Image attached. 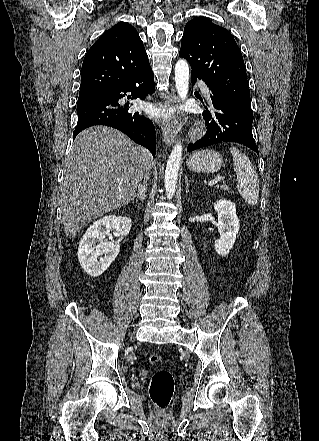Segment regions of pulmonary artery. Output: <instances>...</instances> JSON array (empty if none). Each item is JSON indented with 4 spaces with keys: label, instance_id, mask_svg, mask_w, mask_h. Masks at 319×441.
I'll return each mask as SVG.
<instances>
[{
    "label": "pulmonary artery",
    "instance_id": "e3ab8cb5",
    "mask_svg": "<svg viewBox=\"0 0 319 441\" xmlns=\"http://www.w3.org/2000/svg\"><path fill=\"white\" fill-rule=\"evenodd\" d=\"M199 85H200V88H201L203 95L207 98H210L211 92H210L209 88L207 87V85L204 84L203 82H200Z\"/></svg>",
    "mask_w": 319,
    "mask_h": 441
}]
</instances>
